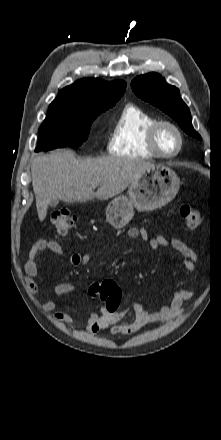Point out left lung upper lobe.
<instances>
[{"label":"left lung upper lobe","instance_id":"1","mask_svg":"<svg viewBox=\"0 0 221 440\" xmlns=\"http://www.w3.org/2000/svg\"><path fill=\"white\" fill-rule=\"evenodd\" d=\"M131 86L138 97L160 108L177 121L187 134L201 140V136L192 126L190 111L176 87L167 84L157 73L138 76Z\"/></svg>","mask_w":221,"mask_h":440}]
</instances>
